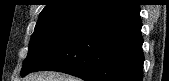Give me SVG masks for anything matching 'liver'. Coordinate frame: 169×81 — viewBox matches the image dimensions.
I'll return each instance as SVG.
<instances>
[{"mask_svg": "<svg viewBox=\"0 0 169 81\" xmlns=\"http://www.w3.org/2000/svg\"><path fill=\"white\" fill-rule=\"evenodd\" d=\"M27 81H76V78L56 72H39L29 76Z\"/></svg>", "mask_w": 169, "mask_h": 81, "instance_id": "6515ba94", "label": "liver"}]
</instances>
